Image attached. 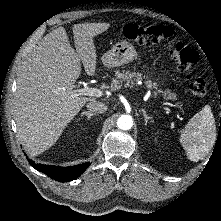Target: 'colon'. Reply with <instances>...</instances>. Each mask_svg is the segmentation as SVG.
<instances>
[{"label":"colon","instance_id":"colon-1","mask_svg":"<svg viewBox=\"0 0 221 221\" xmlns=\"http://www.w3.org/2000/svg\"><path fill=\"white\" fill-rule=\"evenodd\" d=\"M122 35L142 46L167 42L171 57L189 81L191 93L196 97H203L206 94L205 80L195 73V67L199 60L198 54L176 39V33L172 27L166 25L141 26L130 23L122 28Z\"/></svg>","mask_w":221,"mask_h":221}]
</instances>
